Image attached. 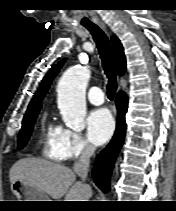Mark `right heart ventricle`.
Returning a JSON list of instances; mask_svg holds the SVG:
<instances>
[{
	"label": "right heart ventricle",
	"mask_w": 176,
	"mask_h": 211,
	"mask_svg": "<svg viewBox=\"0 0 176 211\" xmlns=\"http://www.w3.org/2000/svg\"><path fill=\"white\" fill-rule=\"evenodd\" d=\"M64 129L52 121H47L42 129L41 134V151L42 154L52 160H63L61 150V141Z\"/></svg>",
	"instance_id": "1"
}]
</instances>
